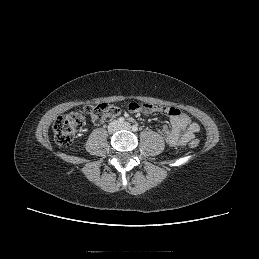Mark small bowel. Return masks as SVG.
<instances>
[{
	"mask_svg": "<svg viewBox=\"0 0 259 259\" xmlns=\"http://www.w3.org/2000/svg\"><path fill=\"white\" fill-rule=\"evenodd\" d=\"M127 109L131 113H164L169 116L171 127H163L160 130L165 141L171 146L185 145L201 130L200 125L194 122L187 114L182 113L178 108L137 103L132 101L128 104Z\"/></svg>",
	"mask_w": 259,
	"mask_h": 259,
	"instance_id": "small-bowel-1",
	"label": "small bowel"
}]
</instances>
